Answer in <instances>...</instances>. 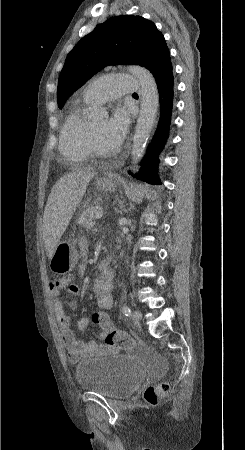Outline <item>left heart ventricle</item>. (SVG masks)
Segmentation results:
<instances>
[{
	"mask_svg": "<svg viewBox=\"0 0 245 450\" xmlns=\"http://www.w3.org/2000/svg\"><path fill=\"white\" fill-rule=\"evenodd\" d=\"M92 126L94 135L100 146L108 151H114L115 147L109 144L106 137L107 119L94 120L92 121Z\"/></svg>",
	"mask_w": 245,
	"mask_h": 450,
	"instance_id": "b2bd125f",
	"label": "left heart ventricle"
}]
</instances>
